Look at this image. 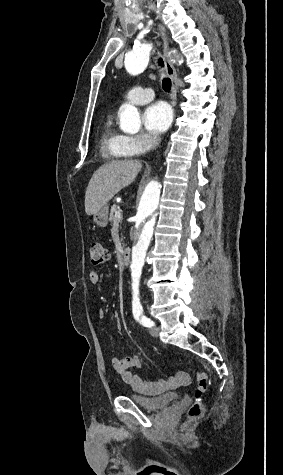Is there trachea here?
Here are the masks:
<instances>
[{
    "label": "trachea",
    "instance_id": "3493384b",
    "mask_svg": "<svg viewBox=\"0 0 283 475\" xmlns=\"http://www.w3.org/2000/svg\"><path fill=\"white\" fill-rule=\"evenodd\" d=\"M158 64H159L161 67H164V62H163L162 58H159ZM171 85H172V84H171L170 78H163V80H162V87H163V90H164L165 92H169V91H170Z\"/></svg>",
    "mask_w": 283,
    "mask_h": 475
}]
</instances>
